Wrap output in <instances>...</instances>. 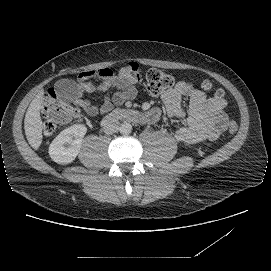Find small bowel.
Returning <instances> with one entry per match:
<instances>
[{
	"label": "small bowel",
	"mask_w": 271,
	"mask_h": 271,
	"mask_svg": "<svg viewBox=\"0 0 271 271\" xmlns=\"http://www.w3.org/2000/svg\"><path fill=\"white\" fill-rule=\"evenodd\" d=\"M74 102L90 116L108 113L114 106L122 105L135 98L137 90L133 85L115 76L110 69L83 71L78 75ZM101 79L99 84L91 82ZM104 93L100 108L92 105L82 97L85 93ZM188 100L185 112L183 100ZM167 115L175 120L174 137L185 143L202 140H216L226 130L228 118L225 113L226 101L215 97L209 98L189 81H179L174 87L162 94ZM148 122H156L160 111L151 109L145 115Z\"/></svg>",
	"instance_id": "c3829d8e"
}]
</instances>
